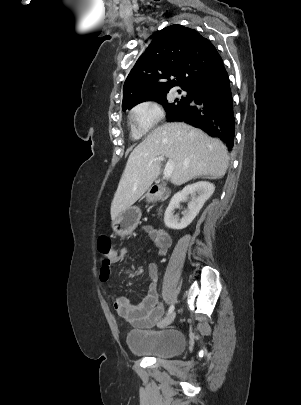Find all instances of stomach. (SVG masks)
I'll use <instances>...</instances> for the list:
<instances>
[{"label":"stomach","mask_w":301,"mask_h":405,"mask_svg":"<svg viewBox=\"0 0 301 405\" xmlns=\"http://www.w3.org/2000/svg\"><path fill=\"white\" fill-rule=\"evenodd\" d=\"M140 212L131 208L123 211L112 223V228L117 235H129L138 225Z\"/></svg>","instance_id":"1"}]
</instances>
